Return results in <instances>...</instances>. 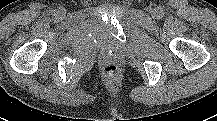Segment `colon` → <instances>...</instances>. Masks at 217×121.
Masks as SVG:
<instances>
[{"label":"colon","mask_w":217,"mask_h":121,"mask_svg":"<svg viewBox=\"0 0 217 121\" xmlns=\"http://www.w3.org/2000/svg\"><path fill=\"white\" fill-rule=\"evenodd\" d=\"M119 65L116 63H108L104 66L103 70L107 76H114L119 71Z\"/></svg>","instance_id":"obj_1"}]
</instances>
